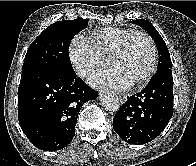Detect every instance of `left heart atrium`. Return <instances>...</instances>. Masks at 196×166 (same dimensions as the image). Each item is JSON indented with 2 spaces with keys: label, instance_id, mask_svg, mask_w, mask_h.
<instances>
[{
  "label": "left heart atrium",
  "instance_id": "left-heart-atrium-1",
  "mask_svg": "<svg viewBox=\"0 0 196 166\" xmlns=\"http://www.w3.org/2000/svg\"><path fill=\"white\" fill-rule=\"evenodd\" d=\"M93 86H110L118 90L129 88L132 83L126 79L116 68L99 71L90 77Z\"/></svg>",
  "mask_w": 196,
  "mask_h": 166
}]
</instances>
